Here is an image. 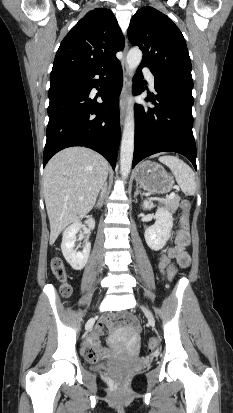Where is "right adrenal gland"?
Masks as SVG:
<instances>
[{"label":"right adrenal gland","mask_w":233,"mask_h":413,"mask_svg":"<svg viewBox=\"0 0 233 413\" xmlns=\"http://www.w3.org/2000/svg\"><path fill=\"white\" fill-rule=\"evenodd\" d=\"M104 195H105V192H104V194L102 195V198L100 199V201H98V203L96 204V207H98V208H101V207H102Z\"/></svg>","instance_id":"right-adrenal-gland-1"}]
</instances>
